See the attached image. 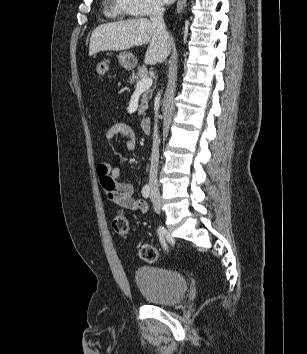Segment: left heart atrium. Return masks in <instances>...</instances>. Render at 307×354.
I'll use <instances>...</instances> for the list:
<instances>
[{
	"label": "left heart atrium",
	"instance_id": "left-heart-atrium-1",
	"mask_svg": "<svg viewBox=\"0 0 307 354\" xmlns=\"http://www.w3.org/2000/svg\"><path fill=\"white\" fill-rule=\"evenodd\" d=\"M173 0H163V2H165V3H170V2H172Z\"/></svg>",
	"mask_w": 307,
	"mask_h": 354
}]
</instances>
